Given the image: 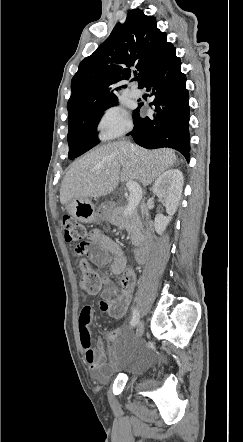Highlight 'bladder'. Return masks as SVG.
Masks as SVG:
<instances>
[{
  "label": "bladder",
  "mask_w": 243,
  "mask_h": 442,
  "mask_svg": "<svg viewBox=\"0 0 243 442\" xmlns=\"http://www.w3.org/2000/svg\"><path fill=\"white\" fill-rule=\"evenodd\" d=\"M148 370L147 363L142 359H133L129 363V366L126 370V375L133 379L143 375Z\"/></svg>",
  "instance_id": "1"
}]
</instances>
